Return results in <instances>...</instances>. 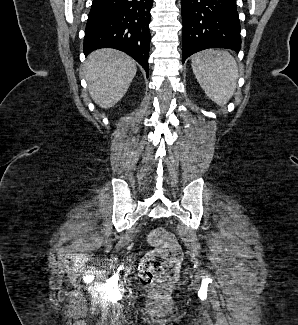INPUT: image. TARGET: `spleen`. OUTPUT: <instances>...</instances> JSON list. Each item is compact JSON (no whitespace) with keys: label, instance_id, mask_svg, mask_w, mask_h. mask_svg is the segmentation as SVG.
Returning <instances> with one entry per match:
<instances>
[{"label":"spleen","instance_id":"spleen-1","mask_svg":"<svg viewBox=\"0 0 298 325\" xmlns=\"http://www.w3.org/2000/svg\"><path fill=\"white\" fill-rule=\"evenodd\" d=\"M191 66L205 94L219 106L227 104L239 76L234 56L228 50L207 48L192 56Z\"/></svg>","mask_w":298,"mask_h":325}]
</instances>
